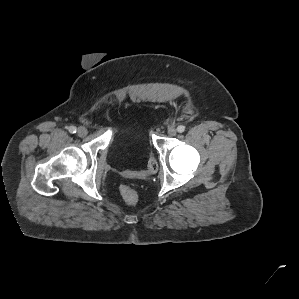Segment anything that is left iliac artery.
Returning <instances> with one entry per match:
<instances>
[{
	"label": "left iliac artery",
	"instance_id": "obj_1",
	"mask_svg": "<svg viewBox=\"0 0 299 299\" xmlns=\"http://www.w3.org/2000/svg\"><path fill=\"white\" fill-rule=\"evenodd\" d=\"M177 130H178L179 133H182V132L185 131V126H183V125H179V126L177 127Z\"/></svg>",
	"mask_w": 299,
	"mask_h": 299
}]
</instances>
